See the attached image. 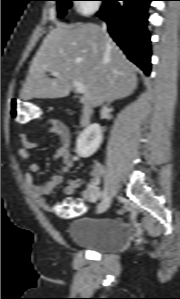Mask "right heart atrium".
I'll return each mask as SVG.
<instances>
[{
    "label": "right heart atrium",
    "instance_id": "1",
    "mask_svg": "<svg viewBox=\"0 0 180 299\" xmlns=\"http://www.w3.org/2000/svg\"><path fill=\"white\" fill-rule=\"evenodd\" d=\"M76 9L81 15H91L97 12L100 8L98 0H77Z\"/></svg>",
    "mask_w": 180,
    "mask_h": 299
}]
</instances>
